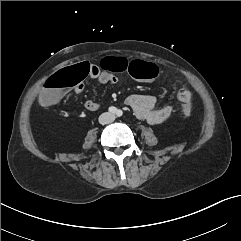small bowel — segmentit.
I'll return each mask as SVG.
<instances>
[{
  "label": "small bowel",
  "mask_w": 241,
  "mask_h": 241,
  "mask_svg": "<svg viewBox=\"0 0 241 241\" xmlns=\"http://www.w3.org/2000/svg\"><path fill=\"white\" fill-rule=\"evenodd\" d=\"M140 64L142 63L140 62ZM89 65L91 67V72L88 75V77L95 78L98 80L99 83L104 85L106 84L115 85L118 83V77L115 74L102 70L101 67L97 64H89ZM83 89H84V86L82 83H80L75 87V92L79 94L83 91ZM181 90H186L189 92V90L185 88H182L179 91ZM190 99H191V93H190ZM125 104L134 111L135 115L139 119L145 120L150 124H160L166 121L172 113V107L170 105L157 108V98L155 96L147 95V94L129 95L125 99ZM99 107H100V104L97 101L87 100L85 102V108L89 111H95Z\"/></svg>",
  "instance_id": "1"
}]
</instances>
